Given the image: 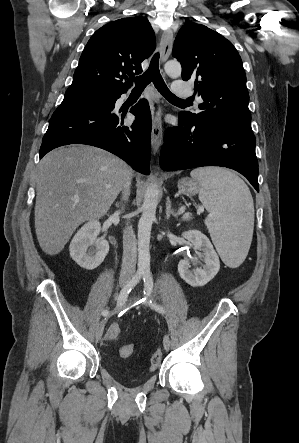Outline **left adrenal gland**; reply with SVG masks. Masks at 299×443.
<instances>
[{"label":"left adrenal gland","mask_w":299,"mask_h":443,"mask_svg":"<svg viewBox=\"0 0 299 443\" xmlns=\"http://www.w3.org/2000/svg\"><path fill=\"white\" fill-rule=\"evenodd\" d=\"M171 215L174 218H177V214L175 213V211L173 209H171V201L169 198H167V202H166V220H169Z\"/></svg>","instance_id":"1"}]
</instances>
